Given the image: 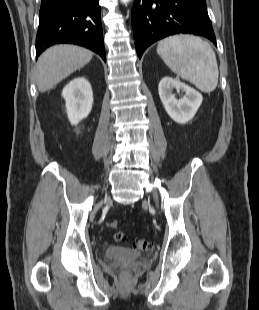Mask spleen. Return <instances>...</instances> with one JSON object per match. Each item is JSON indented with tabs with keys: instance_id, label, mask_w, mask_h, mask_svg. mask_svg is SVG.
Instances as JSON below:
<instances>
[{
	"instance_id": "1",
	"label": "spleen",
	"mask_w": 259,
	"mask_h": 310,
	"mask_svg": "<svg viewBox=\"0 0 259 310\" xmlns=\"http://www.w3.org/2000/svg\"><path fill=\"white\" fill-rule=\"evenodd\" d=\"M157 53L171 71L202 92L216 89L219 77L216 55L211 45L200 37H167L158 43Z\"/></svg>"
}]
</instances>
